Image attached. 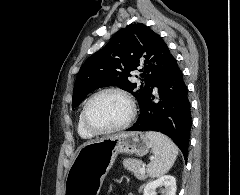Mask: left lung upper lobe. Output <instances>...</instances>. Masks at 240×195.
I'll return each mask as SVG.
<instances>
[{
    "label": "left lung upper lobe",
    "mask_w": 240,
    "mask_h": 195,
    "mask_svg": "<svg viewBox=\"0 0 240 195\" xmlns=\"http://www.w3.org/2000/svg\"><path fill=\"white\" fill-rule=\"evenodd\" d=\"M172 57L164 40L142 23L120 29L110 42L80 68L73 91L72 108L92 91L118 86L135 96L140 109L156 77ZM137 67L143 71L141 85L130 81Z\"/></svg>",
    "instance_id": "1"
}]
</instances>
